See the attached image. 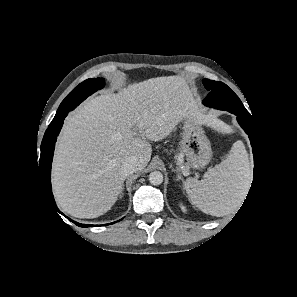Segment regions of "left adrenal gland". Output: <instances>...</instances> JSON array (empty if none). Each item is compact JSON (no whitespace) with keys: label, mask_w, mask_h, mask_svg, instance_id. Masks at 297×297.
<instances>
[{"label":"left adrenal gland","mask_w":297,"mask_h":297,"mask_svg":"<svg viewBox=\"0 0 297 297\" xmlns=\"http://www.w3.org/2000/svg\"><path fill=\"white\" fill-rule=\"evenodd\" d=\"M172 171H174V172L177 173V179H176L177 181H178V180H181L183 183H185L184 178H183V176L181 175V173H180V171H179L178 168H177V169L172 168Z\"/></svg>","instance_id":"a2214340"}]
</instances>
